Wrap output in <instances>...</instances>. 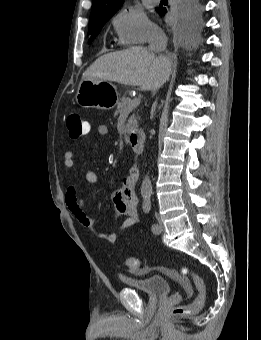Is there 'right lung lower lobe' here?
I'll return each mask as SVG.
<instances>
[{"mask_svg": "<svg viewBox=\"0 0 261 340\" xmlns=\"http://www.w3.org/2000/svg\"><path fill=\"white\" fill-rule=\"evenodd\" d=\"M183 0H181L180 2H182ZM199 2H200V0H199ZM201 4V3H200ZM202 6V5H201ZM157 12L159 13V14H161V15H163V14H165L166 13V9L165 8H159V9H157Z\"/></svg>", "mask_w": 261, "mask_h": 340, "instance_id": "right-lung-lower-lobe-1", "label": "right lung lower lobe"}]
</instances>
